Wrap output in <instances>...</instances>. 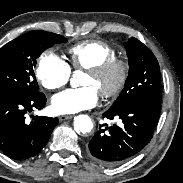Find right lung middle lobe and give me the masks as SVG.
I'll return each mask as SVG.
<instances>
[{
	"instance_id": "1",
	"label": "right lung middle lobe",
	"mask_w": 183,
	"mask_h": 183,
	"mask_svg": "<svg viewBox=\"0 0 183 183\" xmlns=\"http://www.w3.org/2000/svg\"><path fill=\"white\" fill-rule=\"evenodd\" d=\"M66 38L45 31H30L10 41L0 50V93L38 92L34 67L36 59L55 43Z\"/></svg>"
}]
</instances>
